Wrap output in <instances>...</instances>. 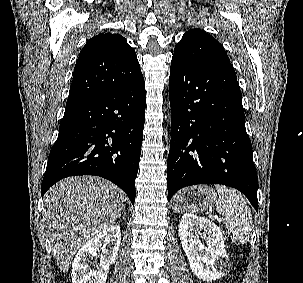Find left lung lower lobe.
<instances>
[{"mask_svg":"<svg viewBox=\"0 0 303 283\" xmlns=\"http://www.w3.org/2000/svg\"><path fill=\"white\" fill-rule=\"evenodd\" d=\"M169 98L168 201L183 187L215 183L238 189L258 210V177L231 63L172 58Z\"/></svg>","mask_w":303,"mask_h":283,"instance_id":"1","label":"left lung lower lobe"}]
</instances>
